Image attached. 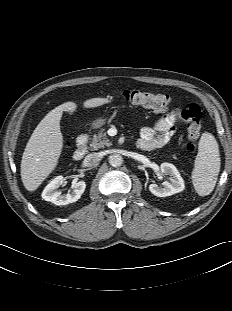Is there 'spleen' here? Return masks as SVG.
<instances>
[{"label":"spleen","mask_w":232,"mask_h":311,"mask_svg":"<svg viewBox=\"0 0 232 311\" xmlns=\"http://www.w3.org/2000/svg\"><path fill=\"white\" fill-rule=\"evenodd\" d=\"M198 150L192 171V182L195 191L200 196H206L216 185L221 165L219 146L215 137L211 133H203Z\"/></svg>","instance_id":"1"}]
</instances>
